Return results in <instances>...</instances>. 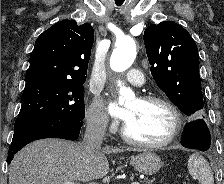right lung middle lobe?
I'll use <instances>...</instances> for the list:
<instances>
[{
  "label": "right lung middle lobe",
  "mask_w": 224,
  "mask_h": 184,
  "mask_svg": "<svg viewBox=\"0 0 224 184\" xmlns=\"http://www.w3.org/2000/svg\"><path fill=\"white\" fill-rule=\"evenodd\" d=\"M83 83L35 81L26 84L14 131L45 119L82 121L85 117Z\"/></svg>",
  "instance_id": "dd1d6c3e"
}]
</instances>
